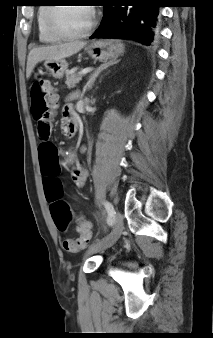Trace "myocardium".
<instances>
[{
	"instance_id": "myocardium-1",
	"label": "myocardium",
	"mask_w": 213,
	"mask_h": 338,
	"mask_svg": "<svg viewBox=\"0 0 213 338\" xmlns=\"http://www.w3.org/2000/svg\"><path fill=\"white\" fill-rule=\"evenodd\" d=\"M60 7H68V6L51 7L49 9V11L47 13V17H46V24H45L46 30L55 39H57V40H73V39L83 38V37H86L87 35H89L94 30V28L96 27V24H97L96 11L94 9H92L90 6H85V7H89L90 11H91V19H90L88 26L83 31H81L79 33H72L71 34V33L61 32L56 27L55 20H54L55 12Z\"/></svg>"
}]
</instances>
